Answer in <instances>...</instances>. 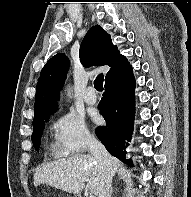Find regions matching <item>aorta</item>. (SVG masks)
I'll list each match as a JSON object with an SVG mask.
<instances>
[{"label":"aorta","mask_w":191,"mask_h":197,"mask_svg":"<svg viewBox=\"0 0 191 197\" xmlns=\"http://www.w3.org/2000/svg\"><path fill=\"white\" fill-rule=\"evenodd\" d=\"M68 94L71 95V91L70 90H68Z\"/></svg>","instance_id":"762f6f07"}]
</instances>
